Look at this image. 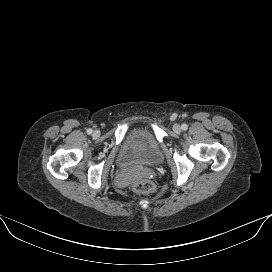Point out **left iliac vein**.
<instances>
[{
	"label": "left iliac vein",
	"instance_id": "obj_1",
	"mask_svg": "<svg viewBox=\"0 0 272 272\" xmlns=\"http://www.w3.org/2000/svg\"><path fill=\"white\" fill-rule=\"evenodd\" d=\"M173 131L176 133H180L181 132V126L179 124H174L173 125Z\"/></svg>",
	"mask_w": 272,
	"mask_h": 272
}]
</instances>
